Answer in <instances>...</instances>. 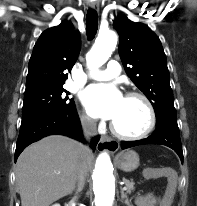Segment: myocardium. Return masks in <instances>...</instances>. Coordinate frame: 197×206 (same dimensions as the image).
I'll return each instance as SVG.
<instances>
[{
  "mask_svg": "<svg viewBox=\"0 0 197 206\" xmlns=\"http://www.w3.org/2000/svg\"><path fill=\"white\" fill-rule=\"evenodd\" d=\"M125 98H137V99H140L144 103V105L147 109V112H148V124L142 132L136 133V134H128V133L121 132L114 125V123L111 122V124H110L111 132L115 136H117L118 138L128 139V140H137V139H142V138L148 136L153 131V129L156 125V113H155V109H154V106H153L151 100L143 93L136 92V91H130V92L126 93Z\"/></svg>",
  "mask_w": 197,
  "mask_h": 206,
  "instance_id": "myocardium-1",
  "label": "myocardium"
}]
</instances>
